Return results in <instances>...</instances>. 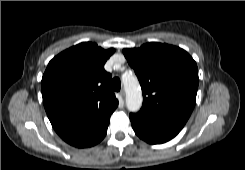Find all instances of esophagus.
<instances>
[{
	"label": "esophagus",
	"instance_id": "obj_1",
	"mask_svg": "<svg viewBox=\"0 0 245 170\" xmlns=\"http://www.w3.org/2000/svg\"><path fill=\"white\" fill-rule=\"evenodd\" d=\"M119 95H120V99H121L122 101H124V95H125V92H124L123 89L119 92Z\"/></svg>",
	"mask_w": 245,
	"mask_h": 170
}]
</instances>
